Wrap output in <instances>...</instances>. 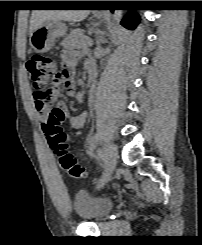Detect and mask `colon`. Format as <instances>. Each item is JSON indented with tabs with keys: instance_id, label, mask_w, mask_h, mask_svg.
Segmentation results:
<instances>
[{
	"instance_id": "5ec220e1",
	"label": "colon",
	"mask_w": 202,
	"mask_h": 245,
	"mask_svg": "<svg viewBox=\"0 0 202 245\" xmlns=\"http://www.w3.org/2000/svg\"><path fill=\"white\" fill-rule=\"evenodd\" d=\"M28 72L34 88L37 90L36 102L48 113L44 131L50 138L51 148L61 170L74 179H85L86 169L78 163L69 147V135L61 126L62 116L55 111L53 104L60 93V85L69 76L66 68L52 57L34 55L28 62Z\"/></svg>"
}]
</instances>
